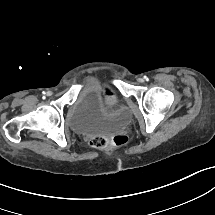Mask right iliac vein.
<instances>
[{"mask_svg": "<svg viewBox=\"0 0 215 215\" xmlns=\"http://www.w3.org/2000/svg\"><path fill=\"white\" fill-rule=\"evenodd\" d=\"M51 94H52V92H51V91H48V92H47V95H49V96H50Z\"/></svg>", "mask_w": 215, "mask_h": 215, "instance_id": "63e3f726", "label": "right iliac vein"}]
</instances>
